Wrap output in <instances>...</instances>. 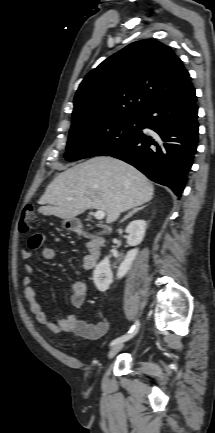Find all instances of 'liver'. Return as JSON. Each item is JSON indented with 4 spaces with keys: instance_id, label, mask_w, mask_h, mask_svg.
Segmentation results:
<instances>
[{
    "instance_id": "6515ba94",
    "label": "liver",
    "mask_w": 215,
    "mask_h": 433,
    "mask_svg": "<svg viewBox=\"0 0 215 433\" xmlns=\"http://www.w3.org/2000/svg\"><path fill=\"white\" fill-rule=\"evenodd\" d=\"M154 187L133 166L98 156L61 172L40 198L38 212L71 220L88 209L105 211L107 223L152 200Z\"/></svg>"
}]
</instances>
